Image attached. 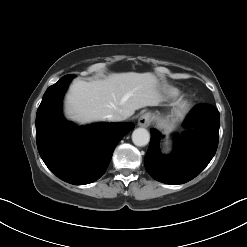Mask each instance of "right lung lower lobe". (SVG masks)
<instances>
[{
  "label": "right lung lower lobe",
  "instance_id": "right-lung-lower-lobe-1",
  "mask_svg": "<svg viewBox=\"0 0 247 247\" xmlns=\"http://www.w3.org/2000/svg\"><path fill=\"white\" fill-rule=\"evenodd\" d=\"M75 75H66L45 92L36 115V141L46 166L65 182L83 185L106 171L121 138L132 123L77 127L61 114L62 97Z\"/></svg>",
  "mask_w": 247,
  "mask_h": 247
}]
</instances>
